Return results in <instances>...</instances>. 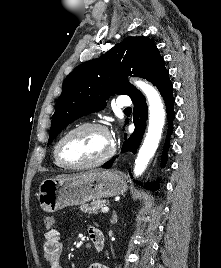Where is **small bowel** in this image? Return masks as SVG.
<instances>
[{"label":"small bowel","instance_id":"obj_1","mask_svg":"<svg viewBox=\"0 0 221 268\" xmlns=\"http://www.w3.org/2000/svg\"><path fill=\"white\" fill-rule=\"evenodd\" d=\"M96 229L94 227L89 228V236L91 232ZM63 245L60 239V233L57 229H47L44 235V242L42 245V253L44 258L48 262L49 268H62L61 255ZM88 268H109L101 263H93Z\"/></svg>","mask_w":221,"mask_h":268}]
</instances>
